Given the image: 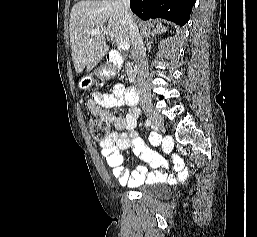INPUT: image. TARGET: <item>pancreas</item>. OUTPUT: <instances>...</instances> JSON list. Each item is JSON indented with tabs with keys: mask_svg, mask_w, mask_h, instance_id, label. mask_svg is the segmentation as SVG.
I'll return each instance as SVG.
<instances>
[{
	"mask_svg": "<svg viewBox=\"0 0 257 237\" xmlns=\"http://www.w3.org/2000/svg\"><path fill=\"white\" fill-rule=\"evenodd\" d=\"M125 68H126V72H127V76L130 82H134L135 81V77H136V67L134 65L133 62H127L125 64Z\"/></svg>",
	"mask_w": 257,
	"mask_h": 237,
	"instance_id": "cf45deb5",
	"label": "pancreas"
}]
</instances>
